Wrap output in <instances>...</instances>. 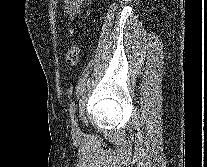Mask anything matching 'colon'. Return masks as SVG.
Here are the masks:
<instances>
[{"instance_id":"obj_1","label":"colon","mask_w":207,"mask_h":167,"mask_svg":"<svg viewBox=\"0 0 207 167\" xmlns=\"http://www.w3.org/2000/svg\"><path fill=\"white\" fill-rule=\"evenodd\" d=\"M74 31L70 30L69 31V35L71 37L74 36ZM79 57H80V49L78 47V45L73 44L66 52L65 55V63L68 67H73L75 65H77V63L79 62Z\"/></svg>"}]
</instances>
